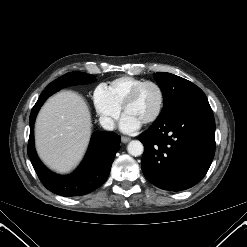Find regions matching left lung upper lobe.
I'll list each match as a JSON object with an SVG mask.
<instances>
[{"label":"left lung upper lobe","instance_id":"5c2ea615","mask_svg":"<svg viewBox=\"0 0 247 247\" xmlns=\"http://www.w3.org/2000/svg\"><path fill=\"white\" fill-rule=\"evenodd\" d=\"M154 77L164 96V107L160 116L171 113L188 99L205 96L198 86L174 74L158 72Z\"/></svg>","mask_w":247,"mask_h":247}]
</instances>
